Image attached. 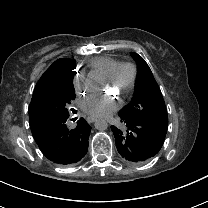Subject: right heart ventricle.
I'll return each mask as SVG.
<instances>
[{
  "mask_svg": "<svg viewBox=\"0 0 208 208\" xmlns=\"http://www.w3.org/2000/svg\"><path fill=\"white\" fill-rule=\"evenodd\" d=\"M118 64L119 61L108 56L96 57L88 61V66L101 73L103 77L108 76Z\"/></svg>",
  "mask_w": 208,
  "mask_h": 208,
  "instance_id": "obj_1",
  "label": "right heart ventricle"
}]
</instances>
